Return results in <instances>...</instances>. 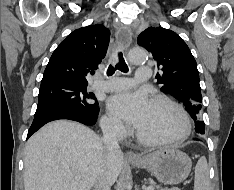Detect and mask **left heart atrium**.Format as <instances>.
<instances>
[{
  "instance_id": "39dd6f15",
  "label": "left heart atrium",
  "mask_w": 234,
  "mask_h": 190,
  "mask_svg": "<svg viewBox=\"0 0 234 190\" xmlns=\"http://www.w3.org/2000/svg\"><path fill=\"white\" fill-rule=\"evenodd\" d=\"M151 101L144 92H122L111 96L107 107L112 116L138 127L144 120Z\"/></svg>"
}]
</instances>
